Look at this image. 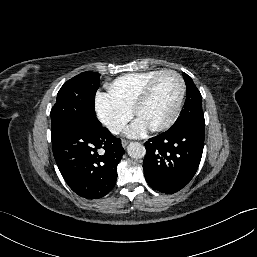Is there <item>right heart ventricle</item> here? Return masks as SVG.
<instances>
[{
  "label": "right heart ventricle",
  "mask_w": 257,
  "mask_h": 257,
  "mask_svg": "<svg viewBox=\"0 0 257 257\" xmlns=\"http://www.w3.org/2000/svg\"><path fill=\"white\" fill-rule=\"evenodd\" d=\"M163 70H149L123 75L111 82L108 97L122 107L132 110L144 87Z\"/></svg>",
  "instance_id": "1"
}]
</instances>
